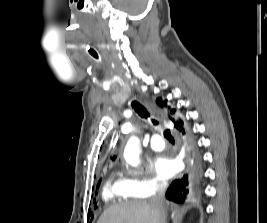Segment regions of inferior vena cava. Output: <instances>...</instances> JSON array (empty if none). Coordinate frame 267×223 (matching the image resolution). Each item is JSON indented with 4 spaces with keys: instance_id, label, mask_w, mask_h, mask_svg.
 Masks as SVG:
<instances>
[{
    "instance_id": "602c4592",
    "label": "inferior vena cava",
    "mask_w": 267,
    "mask_h": 223,
    "mask_svg": "<svg viewBox=\"0 0 267 223\" xmlns=\"http://www.w3.org/2000/svg\"><path fill=\"white\" fill-rule=\"evenodd\" d=\"M167 184L165 183H159L156 187V191L154 195L151 198V203L158 207L161 212V223H165L166 220V210H165V190H166Z\"/></svg>"
}]
</instances>
